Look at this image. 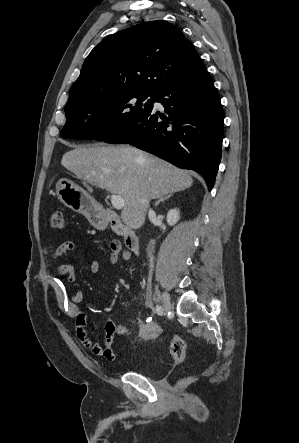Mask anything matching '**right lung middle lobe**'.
<instances>
[{"instance_id": "dd1d6c3e", "label": "right lung middle lobe", "mask_w": 299, "mask_h": 443, "mask_svg": "<svg viewBox=\"0 0 299 443\" xmlns=\"http://www.w3.org/2000/svg\"><path fill=\"white\" fill-rule=\"evenodd\" d=\"M154 98V93L125 91L72 102L65 107L66 124L61 135L69 139L104 141L131 120L150 111Z\"/></svg>"}]
</instances>
